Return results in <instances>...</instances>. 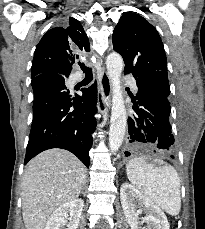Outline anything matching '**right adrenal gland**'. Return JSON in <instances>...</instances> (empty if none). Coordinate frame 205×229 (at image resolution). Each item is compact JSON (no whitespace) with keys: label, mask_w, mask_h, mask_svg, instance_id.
Instances as JSON below:
<instances>
[{"label":"right adrenal gland","mask_w":205,"mask_h":229,"mask_svg":"<svg viewBox=\"0 0 205 229\" xmlns=\"http://www.w3.org/2000/svg\"><path fill=\"white\" fill-rule=\"evenodd\" d=\"M84 188L82 189L81 193L83 194Z\"/></svg>","instance_id":"obj_1"}]
</instances>
